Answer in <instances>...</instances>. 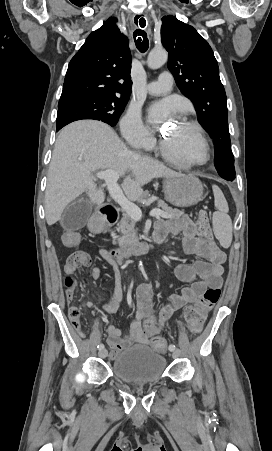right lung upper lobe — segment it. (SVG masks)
I'll return each instance as SVG.
<instances>
[{"instance_id": "obj_1", "label": "right lung upper lobe", "mask_w": 272, "mask_h": 451, "mask_svg": "<svg viewBox=\"0 0 272 451\" xmlns=\"http://www.w3.org/2000/svg\"><path fill=\"white\" fill-rule=\"evenodd\" d=\"M109 18L92 32L71 59L60 100L82 96H117L131 93V54L128 39Z\"/></svg>"}]
</instances>
